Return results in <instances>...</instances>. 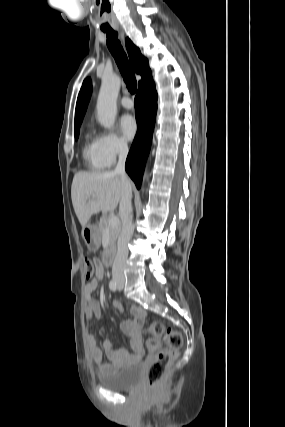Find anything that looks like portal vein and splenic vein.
<instances>
[{
	"label": "portal vein and splenic vein",
	"mask_w": 285,
	"mask_h": 427,
	"mask_svg": "<svg viewBox=\"0 0 285 427\" xmlns=\"http://www.w3.org/2000/svg\"><path fill=\"white\" fill-rule=\"evenodd\" d=\"M120 224L119 218L116 216H112L108 219V229L111 227H116Z\"/></svg>",
	"instance_id": "1"
}]
</instances>
